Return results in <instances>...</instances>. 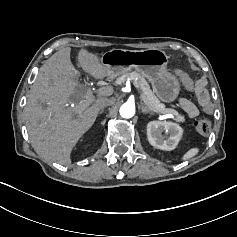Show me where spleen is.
Here are the masks:
<instances>
[{"mask_svg":"<svg viewBox=\"0 0 237 237\" xmlns=\"http://www.w3.org/2000/svg\"><path fill=\"white\" fill-rule=\"evenodd\" d=\"M199 152L198 148H191L190 150H188L184 155H183V160H188L192 157H194L195 155H197V153Z\"/></svg>","mask_w":237,"mask_h":237,"instance_id":"spleen-1","label":"spleen"}]
</instances>
